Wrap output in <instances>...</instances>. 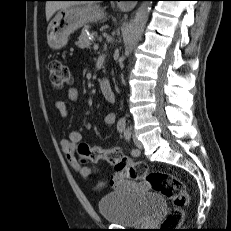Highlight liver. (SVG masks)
<instances>
[{
	"mask_svg": "<svg viewBox=\"0 0 231 231\" xmlns=\"http://www.w3.org/2000/svg\"><path fill=\"white\" fill-rule=\"evenodd\" d=\"M81 4L84 3L74 1H48L46 3V19L49 21L53 14L62 8Z\"/></svg>",
	"mask_w": 231,
	"mask_h": 231,
	"instance_id": "1",
	"label": "liver"
}]
</instances>
